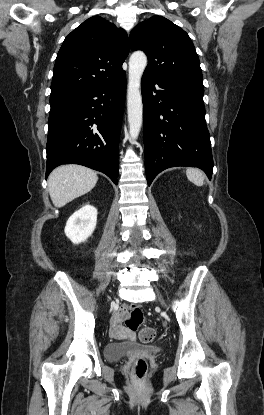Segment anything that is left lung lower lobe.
<instances>
[{"label": "left lung lower lobe", "mask_w": 264, "mask_h": 415, "mask_svg": "<svg viewBox=\"0 0 264 415\" xmlns=\"http://www.w3.org/2000/svg\"><path fill=\"white\" fill-rule=\"evenodd\" d=\"M141 88L148 185L161 171L176 166L198 167L211 179L213 158L204 87L144 73Z\"/></svg>", "instance_id": "1"}]
</instances>
